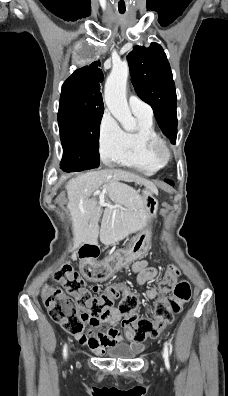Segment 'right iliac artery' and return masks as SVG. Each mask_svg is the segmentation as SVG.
Wrapping results in <instances>:
<instances>
[{
    "label": "right iliac artery",
    "mask_w": 228,
    "mask_h": 396,
    "mask_svg": "<svg viewBox=\"0 0 228 396\" xmlns=\"http://www.w3.org/2000/svg\"><path fill=\"white\" fill-rule=\"evenodd\" d=\"M63 356H64V358L67 357V345L66 344L64 345V348H63Z\"/></svg>",
    "instance_id": "82829eb1"
}]
</instances>
